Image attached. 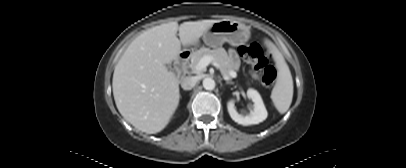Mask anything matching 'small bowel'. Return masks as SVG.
Segmentation results:
<instances>
[{"label": "small bowel", "mask_w": 406, "mask_h": 168, "mask_svg": "<svg viewBox=\"0 0 406 168\" xmlns=\"http://www.w3.org/2000/svg\"><path fill=\"white\" fill-rule=\"evenodd\" d=\"M229 58L233 64L237 63L238 56L237 52L234 49L229 50ZM254 76H256V74H254Z\"/></svg>", "instance_id": "c3829d8e"}]
</instances>
